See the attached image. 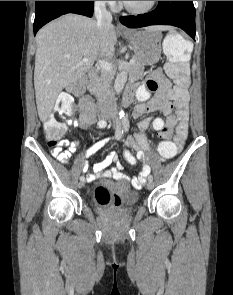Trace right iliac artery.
<instances>
[{"label": "right iliac artery", "mask_w": 233, "mask_h": 295, "mask_svg": "<svg viewBox=\"0 0 233 295\" xmlns=\"http://www.w3.org/2000/svg\"><path fill=\"white\" fill-rule=\"evenodd\" d=\"M122 134H123V130L121 129L120 126H117L116 131H115V138L117 140H120L122 137ZM83 179H85L84 176H81L80 180H83Z\"/></svg>", "instance_id": "1"}]
</instances>
